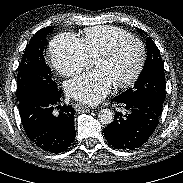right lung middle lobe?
Returning <instances> with one entry per match:
<instances>
[{
  "label": "right lung middle lobe",
  "mask_w": 183,
  "mask_h": 183,
  "mask_svg": "<svg viewBox=\"0 0 183 183\" xmlns=\"http://www.w3.org/2000/svg\"><path fill=\"white\" fill-rule=\"evenodd\" d=\"M54 27L43 28L35 33L26 46L17 74V99L21 102L32 94H52L58 91L52 72L45 61L46 36Z\"/></svg>",
  "instance_id": "right-lung-middle-lobe-1"
}]
</instances>
